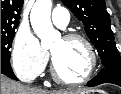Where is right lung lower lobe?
<instances>
[{
	"instance_id": "98d812e1",
	"label": "right lung lower lobe",
	"mask_w": 121,
	"mask_h": 94,
	"mask_svg": "<svg viewBox=\"0 0 121 94\" xmlns=\"http://www.w3.org/2000/svg\"><path fill=\"white\" fill-rule=\"evenodd\" d=\"M1 74H4L12 79L17 80L10 65L9 66L8 65H1Z\"/></svg>"
}]
</instances>
